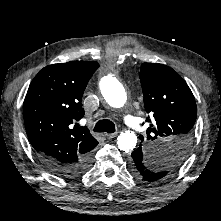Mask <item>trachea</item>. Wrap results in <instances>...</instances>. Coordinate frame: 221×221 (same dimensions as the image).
Listing matches in <instances>:
<instances>
[{
  "label": "trachea",
  "mask_w": 221,
  "mask_h": 221,
  "mask_svg": "<svg viewBox=\"0 0 221 221\" xmlns=\"http://www.w3.org/2000/svg\"><path fill=\"white\" fill-rule=\"evenodd\" d=\"M94 132H107V133H114L115 132V124L108 120V119H103L99 120L95 127H94Z\"/></svg>",
  "instance_id": "1"
}]
</instances>
